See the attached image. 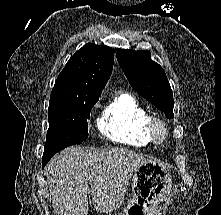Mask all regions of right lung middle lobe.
<instances>
[{"instance_id":"dd1d6c3e","label":"right lung middle lobe","mask_w":221,"mask_h":215,"mask_svg":"<svg viewBox=\"0 0 221 215\" xmlns=\"http://www.w3.org/2000/svg\"><path fill=\"white\" fill-rule=\"evenodd\" d=\"M97 100L49 105V129L43 159H50L58 151L80 144L88 137L90 111Z\"/></svg>"}]
</instances>
